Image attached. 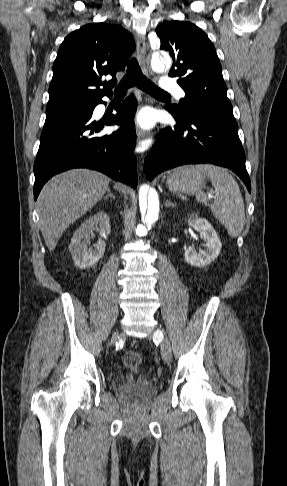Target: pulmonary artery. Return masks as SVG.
Returning <instances> with one entry per match:
<instances>
[{
	"label": "pulmonary artery",
	"mask_w": 287,
	"mask_h": 486,
	"mask_svg": "<svg viewBox=\"0 0 287 486\" xmlns=\"http://www.w3.org/2000/svg\"><path fill=\"white\" fill-rule=\"evenodd\" d=\"M160 87L164 92L175 93L180 98L184 97L183 90L180 88L177 82L172 78H168V77L162 78Z\"/></svg>",
	"instance_id": "e3ab8cb5"
}]
</instances>
